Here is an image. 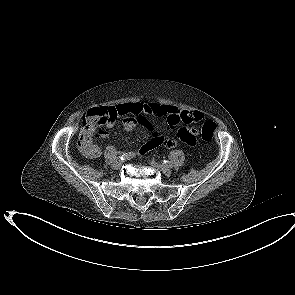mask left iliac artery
<instances>
[{"mask_svg":"<svg viewBox=\"0 0 295 295\" xmlns=\"http://www.w3.org/2000/svg\"><path fill=\"white\" fill-rule=\"evenodd\" d=\"M163 164L166 165V166H171V162L170 161H167V160H164L163 161Z\"/></svg>","mask_w":295,"mask_h":295,"instance_id":"44dca946","label":"left iliac artery"}]
</instances>
